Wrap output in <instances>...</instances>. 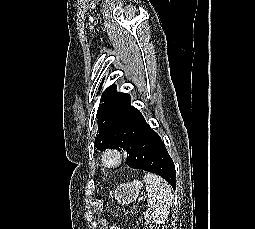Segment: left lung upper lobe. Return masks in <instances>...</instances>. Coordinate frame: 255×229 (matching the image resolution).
<instances>
[{
  "mask_svg": "<svg viewBox=\"0 0 255 229\" xmlns=\"http://www.w3.org/2000/svg\"><path fill=\"white\" fill-rule=\"evenodd\" d=\"M127 95V93L117 92L114 84L103 92L100 100L102 103L97 111L98 132L95 146L98 150L103 151L109 147H120L127 150L129 139L111 124V115L121 105Z\"/></svg>",
  "mask_w": 255,
  "mask_h": 229,
  "instance_id": "obj_1",
  "label": "left lung upper lobe"
}]
</instances>
